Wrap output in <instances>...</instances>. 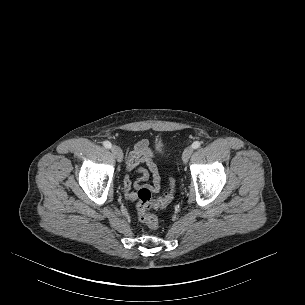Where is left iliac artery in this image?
I'll return each mask as SVG.
<instances>
[{
  "instance_id": "1",
  "label": "left iliac artery",
  "mask_w": 305,
  "mask_h": 305,
  "mask_svg": "<svg viewBox=\"0 0 305 305\" xmlns=\"http://www.w3.org/2000/svg\"><path fill=\"white\" fill-rule=\"evenodd\" d=\"M201 146V143L199 142V141H195V142H193V144H192V148L193 149H197V148H199Z\"/></svg>"
}]
</instances>
